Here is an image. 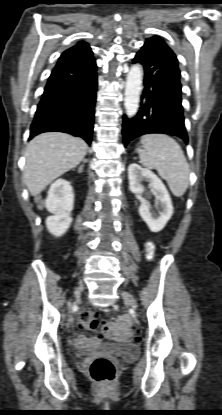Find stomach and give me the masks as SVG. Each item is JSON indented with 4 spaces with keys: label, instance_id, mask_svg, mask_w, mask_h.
<instances>
[{
    "label": "stomach",
    "instance_id": "stomach-1",
    "mask_svg": "<svg viewBox=\"0 0 222 415\" xmlns=\"http://www.w3.org/2000/svg\"><path fill=\"white\" fill-rule=\"evenodd\" d=\"M142 149L141 148H137V151L140 152Z\"/></svg>",
    "mask_w": 222,
    "mask_h": 415
}]
</instances>
